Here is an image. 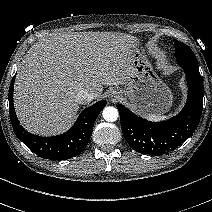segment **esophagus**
Listing matches in <instances>:
<instances>
[{
    "label": "esophagus",
    "instance_id": "obj_1",
    "mask_svg": "<svg viewBox=\"0 0 212 212\" xmlns=\"http://www.w3.org/2000/svg\"><path fill=\"white\" fill-rule=\"evenodd\" d=\"M110 96H111V98H113V97L114 98H117V96L115 95V93H112Z\"/></svg>",
    "mask_w": 212,
    "mask_h": 212
}]
</instances>
